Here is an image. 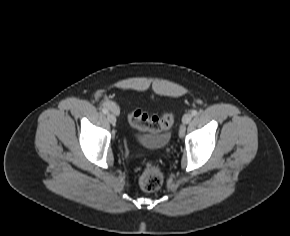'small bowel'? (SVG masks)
<instances>
[{
	"instance_id": "c3829d8e",
	"label": "small bowel",
	"mask_w": 290,
	"mask_h": 236,
	"mask_svg": "<svg viewBox=\"0 0 290 236\" xmlns=\"http://www.w3.org/2000/svg\"><path fill=\"white\" fill-rule=\"evenodd\" d=\"M104 105H105L107 108H109L111 111L115 112V113L118 111L117 106H116L113 102H111V101H106V102L104 103Z\"/></svg>"
}]
</instances>
